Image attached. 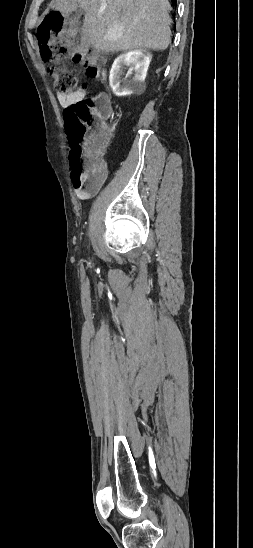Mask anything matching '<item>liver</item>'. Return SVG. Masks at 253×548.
<instances>
[{"label":"liver","instance_id":"6515ba94","mask_svg":"<svg viewBox=\"0 0 253 548\" xmlns=\"http://www.w3.org/2000/svg\"><path fill=\"white\" fill-rule=\"evenodd\" d=\"M49 8H82V40L97 51L165 50L171 42L168 0H51Z\"/></svg>","mask_w":253,"mask_h":548}]
</instances>
